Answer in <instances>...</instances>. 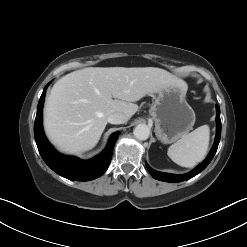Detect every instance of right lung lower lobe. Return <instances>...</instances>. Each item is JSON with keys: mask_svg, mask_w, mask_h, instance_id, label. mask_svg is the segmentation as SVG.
I'll list each match as a JSON object with an SVG mask.
<instances>
[{"mask_svg": "<svg viewBox=\"0 0 247 247\" xmlns=\"http://www.w3.org/2000/svg\"><path fill=\"white\" fill-rule=\"evenodd\" d=\"M46 89V87H45ZM45 89L40 97L34 124V136L39 153L45 163L57 174L76 181H89L101 176L108 168L118 132L111 135L105 150L88 161L57 153L46 139L42 128V108Z\"/></svg>", "mask_w": 247, "mask_h": 247, "instance_id": "1", "label": "right lung lower lobe"}]
</instances>
